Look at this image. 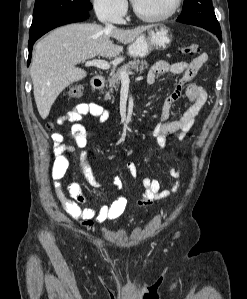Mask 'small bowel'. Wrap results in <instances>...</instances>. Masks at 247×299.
Segmentation results:
<instances>
[{
  "label": "small bowel",
  "instance_id": "small-bowel-1",
  "mask_svg": "<svg viewBox=\"0 0 247 299\" xmlns=\"http://www.w3.org/2000/svg\"><path fill=\"white\" fill-rule=\"evenodd\" d=\"M207 54L202 53L190 62L179 61L169 63L164 60L156 62L147 75V82L153 84L159 75L171 73L174 75H181L180 82L171 96L164 102L160 122L153 129L152 135L156 139L160 147L166 146V138L172 133H178L179 140H183L186 134L190 131L194 124V119L200 112L207 101V93L205 89L198 85L191 83L198 71L207 61ZM182 95L189 99V106L175 120H171V108ZM90 115L103 122L109 119V112L101 105L95 102H82L73 106L58 118L57 123L62 125L70 123V132L74 139V145H66L64 143V136L55 132L52 134L53 154L55 161L53 165L52 175L56 180L54 183L55 194L60 201L65 212L74 220L81 222L85 227L91 229L96 224H102L109 220H114L121 216L126 209L127 200L123 195L117 198L111 204H102L99 207L87 206V201L82 193L80 184L72 182L68 185L67 191L70 197H67L62 190L59 179L63 177L69 167L68 154L73 152L76 148H85L87 145V133L81 121L84 116ZM88 152L83 153V163L81 166V175L86 182L94 187L100 188L103 186L102 178L95 173L88 165ZM127 167L136 177L138 170L133 162H128ZM170 174L174 178H179L178 170L172 168ZM114 185L120 191L122 189V180L120 177H115ZM144 192L142 198L137 202L139 207H147L154 202L163 200L169 197L172 193H177L180 189V183L177 182L171 190H162L159 180L152 178H144L142 180Z\"/></svg>",
  "mask_w": 247,
  "mask_h": 299
}]
</instances>
